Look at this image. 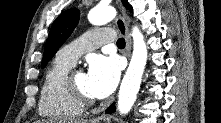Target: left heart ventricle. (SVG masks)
Instances as JSON below:
<instances>
[{
	"mask_svg": "<svg viewBox=\"0 0 221 123\" xmlns=\"http://www.w3.org/2000/svg\"><path fill=\"white\" fill-rule=\"evenodd\" d=\"M74 82L77 85V87L87 96L96 98L89 85L88 77L86 73L83 72H75L74 74Z\"/></svg>",
	"mask_w": 221,
	"mask_h": 123,
	"instance_id": "obj_1",
	"label": "left heart ventricle"
}]
</instances>
